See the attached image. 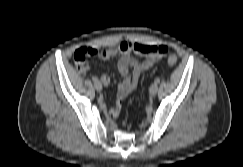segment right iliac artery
I'll list each match as a JSON object with an SVG mask.
<instances>
[{"label":"right iliac artery","mask_w":243,"mask_h":167,"mask_svg":"<svg viewBox=\"0 0 243 167\" xmlns=\"http://www.w3.org/2000/svg\"><path fill=\"white\" fill-rule=\"evenodd\" d=\"M92 80H93L94 83H98L99 82L96 77H93Z\"/></svg>","instance_id":"1"}]
</instances>
